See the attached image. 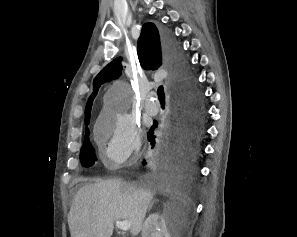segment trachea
Listing matches in <instances>:
<instances>
[{
    "mask_svg": "<svg viewBox=\"0 0 297 237\" xmlns=\"http://www.w3.org/2000/svg\"><path fill=\"white\" fill-rule=\"evenodd\" d=\"M157 94H158V98H159L160 101H164L165 100V93H164L163 86H159L158 87Z\"/></svg>",
    "mask_w": 297,
    "mask_h": 237,
    "instance_id": "obj_1",
    "label": "trachea"
}]
</instances>
